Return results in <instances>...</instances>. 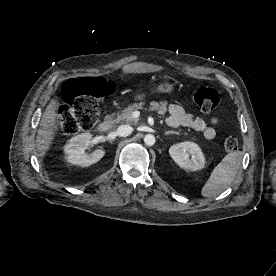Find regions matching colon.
I'll use <instances>...</instances> for the list:
<instances>
[{
    "label": "colon",
    "mask_w": 276,
    "mask_h": 276,
    "mask_svg": "<svg viewBox=\"0 0 276 276\" xmlns=\"http://www.w3.org/2000/svg\"><path fill=\"white\" fill-rule=\"evenodd\" d=\"M113 90L114 86L101 78L84 77L67 81L62 90L65 105L58 111V131L71 135L90 130L98 118L100 99ZM191 96L200 111L206 114L215 111L220 100L217 90L211 87L195 88ZM224 149L227 152L236 151L237 138L227 137Z\"/></svg>",
    "instance_id": "obj_1"
}]
</instances>
